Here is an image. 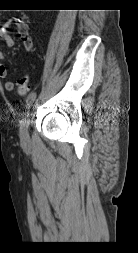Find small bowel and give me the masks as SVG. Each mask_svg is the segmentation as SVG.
Wrapping results in <instances>:
<instances>
[{"label": "small bowel", "mask_w": 138, "mask_h": 253, "mask_svg": "<svg viewBox=\"0 0 138 253\" xmlns=\"http://www.w3.org/2000/svg\"><path fill=\"white\" fill-rule=\"evenodd\" d=\"M15 25L19 39L22 42L26 52H31L34 47L33 39L29 31L28 24L21 18L13 17L0 26V41L6 48H11L14 41L10 35V26ZM8 76V69L5 65V56L0 49V78L4 79ZM7 91H13L15 84L13 81H6L4 85Z\"/></svg>", "instance_id": "c3829d8e"}]
</instances>
